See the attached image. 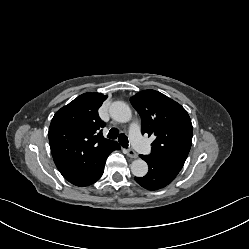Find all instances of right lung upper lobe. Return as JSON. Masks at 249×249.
I'll return each mask as SVG.
<instances>
[{
    "label": "right lung upper lobe",
    "instance_id": "1",
    "mask_svg": "<svg viewBox=\"0 0 249 249\" xmlns=\"http://www.w3.org/2000/svg\"><path fill=\"white\" fill-rule=\"evenodd\" d=\"M106 99L100 93L82 94L57 111L51 121L49 143L54 162L76 186L91 178L102 156L117 144L102 135L105 123L98 109Z\"/></svg>",
    "mask_w": 249,
    "mask_h": 249
}]
</instances>
